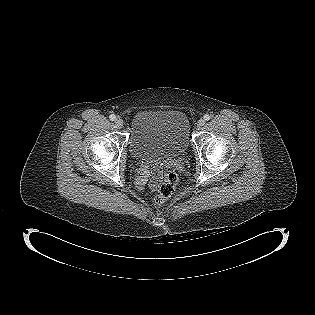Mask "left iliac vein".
Segmentation results:
<instances>
[{
  "mask_svg": "<svg viewBox=\"0 0 315 315\" xmlns=\"http://www.w3.org/2000/svg\"><path fill=\"white\" fill-rule=\"evenodd\" d=\"M205 125V120L204 119H200L198 122H197V128L198 129H202V127Z\"/></svg>",
  "mask_w": 315,
  "mask_h": 315,
  "instance_id": "obj_1",
  "label": "left iliac vein"
}]
</instances>
